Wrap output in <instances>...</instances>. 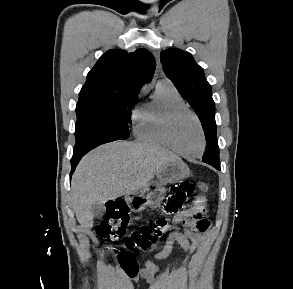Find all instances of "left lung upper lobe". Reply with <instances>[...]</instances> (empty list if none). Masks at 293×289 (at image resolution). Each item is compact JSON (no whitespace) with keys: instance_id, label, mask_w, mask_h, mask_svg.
I'll use <instances>...</instances> for the list:
<instances>
[{"instance_id":"obj_1","label":"left lung upper lobe","mask_w":293,"mask_h":289,"mask_svg":"<svg viewBox=\"0 0 293 289\" xmlns=\"http://www.w3.org/2000/svg\"><path fill=\"white\" fill-rule=\"evenodd\" d=\"M160 60L166 76L198 115L206 141L214 139L216 142L214 147L205 151L202 161L209 165H220L215 103L212 99L211 86L205 79L202 67L196 64L190 53L175 48L162 51Z\"/></svg>"}]
</instances>
